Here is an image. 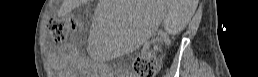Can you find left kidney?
Masks as SVG:
<instances>
[{"instance_id":"left-kidney-1","label":"left kidney","mask_w":258,"mask_h":77,"mask_svg":"<svg viewBox=\"0 0 258 77\" xmlns=\"http://www.w3.org/2000/svg\"><path fill=\"white\" fill-rule=\"evenodd\" d=\"M196 4H197V0H193V6H190L189 8H182L180 10L178 8L173 10V13L171 12L172 24L179 23L185 26L191 19L192 15L194 14L196 9Z\"/></svg>"}]
</instances>
